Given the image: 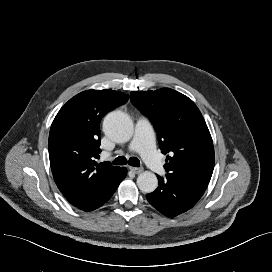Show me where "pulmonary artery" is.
<instances>
[{
	"mask_svg": "<svg viewBox=\"0 0 272 272\" xmlns=\"http://www.w3.org/2000/svg\"><path fill=\"white\" fill-rule=\"evenodd\" d=\"M128 149L140 153L155 174L158 176L165 174V166L155 149L153 130L147 118L141 117L137 121L135 135Z\"/></svg>",
	"mask_w": 272,
	"mask_h": 272,
	"instance_id": "e3ab8cb5",
	"label": "pulmonary artery"
}]
</instances>
